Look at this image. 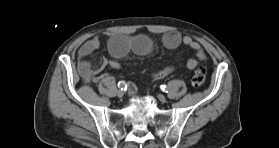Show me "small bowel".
<instances>
[{
  "mask_svg": "<svg viewBox=\"0 0 279 148\" xmlns=\"http://www.w3.org/2000/svg\"><path fill=\"white\" fill-rule=\"evenodd\" d=\"M162 42L165 47L174 49L181 44L189 47L195 57H191L187 61V67L189 69H195L198 66L199 61L205 59V53L202 46L189 36H182L177 31H169L162 37ZM100 41L97 37H93L86 41L78 50V64L77 70L80 77L86 82H96L100 78V72L107 65L113 69H120L121 65L116 60H107L101 58L97 65L93 67L90 56L98 50ZM108 50L110 54L115 58L125 57L128 53L133 52L137 55H147L153 50L152 40L145 35L137 36H124L113 35L108 41ZM174 70V67H166L165 69L152 75L153 79H162L170 74ZM136 85L132 82L128 83V90L135 92Z\"/></svg>",
  "mask_w": 279,
  "mask_h": 148,
  "instance_id": "obj_1",
  "label": "small bowel"
}]
</instances>
